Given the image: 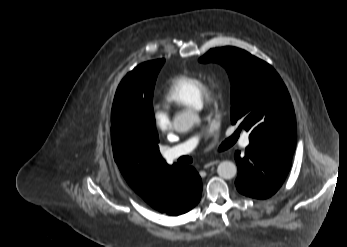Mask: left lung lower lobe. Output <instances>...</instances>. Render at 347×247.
<instances>
[{"label": "left lung lower lobe", "mask_w": 347, "mask_h": 247, "mask_svg": "<svg viewBox=\"0 0 347 247\" xmlns=\"http://www.w3.org/2000/svg\"><path fill=\"white\" fill-rule=\"evenodd\" d=\"M294 150L290 145L263 142L249 144L244 155L236 151L238 191L257 199L275 194L290 170Z\"/></svg>", "instance_id": "obj_1"}]
</instances>
